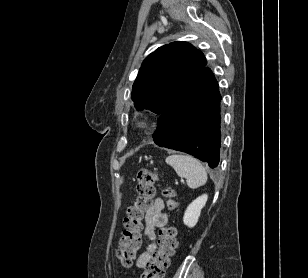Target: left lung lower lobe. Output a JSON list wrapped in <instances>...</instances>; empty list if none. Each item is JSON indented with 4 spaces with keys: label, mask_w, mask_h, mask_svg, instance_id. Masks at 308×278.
<instances>
[{
    "label": "left lung lower lobe",
    "mask_w": 308,
    "mask_h": 278,
    "mask_svg": "<svg viewBox=\"0 0 308 278\" xmlns=\"http://www.w3.org/2000/svg\"><path fill=\"white\" fill-rule=\"evenodd\" d=\"M218 83L206 67L194 76L160 114L154 142L186 152L217 167L220 159Z\"/></svg>",
    "instance_id": "left-lung-lower-lobe-1"
}]
</instances>
